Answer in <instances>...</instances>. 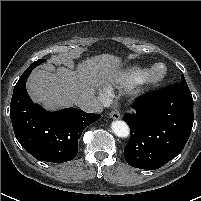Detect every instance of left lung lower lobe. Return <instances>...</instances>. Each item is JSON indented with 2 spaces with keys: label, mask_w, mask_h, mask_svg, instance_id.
I'll return each mask as SVG.
<instances>
[{
  "label": "left lung lower lobe",
  "mask_w": 201,
  "mask_h": 201,
  "mask_svg": "<svg viewBox=\"0 0 201 201\" xmlns=\"http://www.w3.org/2000/svg\"><path fill=\"white\" fill-rule=\"evenodd\" d=\"M136 114H126L131 130L124 158L135 168L155 170L183 150L194 122L187 83H174L139 99Z\"/></svg>",
  "instance_id": "0a47b994"
}]
</instances>
